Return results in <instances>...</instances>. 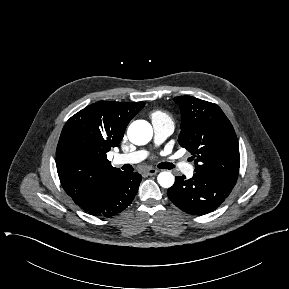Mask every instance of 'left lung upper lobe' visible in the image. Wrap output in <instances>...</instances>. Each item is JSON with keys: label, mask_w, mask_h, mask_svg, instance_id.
Segmentation results:
<instances>
[{"label": "left lung upper lobe", "mask_w": 289, "mask_h": 289, "mask_svg": "<svg viewBox=\"0 0 289 289\" xmlns=\"http://www.w3.org/2000/svg\"><path fill=\"white\" fill-rule=\"evenodd\" d=\"M182 114L178 142L195 159V172L235 185L240 166L235 130L221 108L191 96L173 99Z\"/></svg>", "instance_id": "obj_1"}]
</instances>
